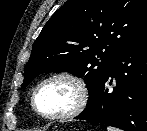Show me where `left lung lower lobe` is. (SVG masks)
<instances>
[{"label": "left lung lower lobe", "mask_w": 147, "mask_h": 131, "mask_svg": "<svg viewBox=\"0 0 147 131\" xmlns=\"http://www.w3.org/2000/svg\"><path fill=\"white\" fill-rule=\"evenodd\" d=\"M109 77L114 78L113 89ZM75 119L147 131V34L118 54L98 92Z\"/></svg>", "instance_id": "1"}]
</instances>
